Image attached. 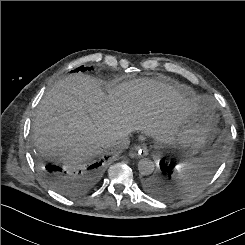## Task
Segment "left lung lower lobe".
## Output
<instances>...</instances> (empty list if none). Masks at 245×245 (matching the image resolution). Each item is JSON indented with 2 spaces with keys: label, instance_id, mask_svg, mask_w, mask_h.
Instances as JSON below:
<instances>
[{
  "label": "left lung lower lobe",
  "instance_id": "obj_1",
  "mask_svg": "<svg viewBox=\"0 0 245 245\" xmlns=\"http://www.w3.org/2000/svg\"><path fill=\"white\" fill-rule=\"evenodd\" d=\"M175 177V162L163 158L160 161V172L151 175L143 181L144 190L150 195L165 199L169 196L170 190L167 187V181Z\"/></svg>",
  "mask_w": 245,
  "mask_h": 245
}]
</instances>
